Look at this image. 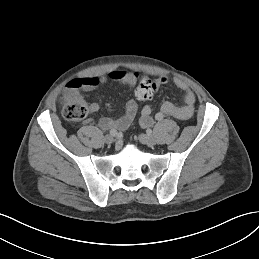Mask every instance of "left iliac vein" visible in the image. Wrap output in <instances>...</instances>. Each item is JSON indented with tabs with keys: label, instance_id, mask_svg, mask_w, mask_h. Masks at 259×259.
<instances>
[{
	"label": "left iliac vein",
	"instance_id": "left-iliac-vein-1",
	"mask_svg": "<svg viewBox=\"0 0 259 259\" xmlns=\"http://www.w3.org/2000/svg\"><path fill=\"white\" fill-rule=\"evenodd\" d=\"M139 139L143 144H146L150 147H152L156 144V137L152 134H148V135L147 134H141L139 136Z\"/></svg>",
	"mask_w": 259,
	"mask_h": 259
}]
</instances>
